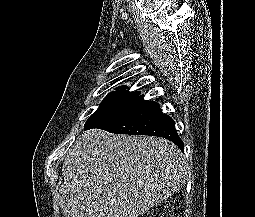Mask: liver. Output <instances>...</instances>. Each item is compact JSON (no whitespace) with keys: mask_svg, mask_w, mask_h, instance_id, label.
Here are the masks:
<instances>
[{"mask_svg":"<svg viewBox=\"0 0 255 217\" xmlns=\"http://www.w3.org/2000/svg\"><path fill=\"white\" fill-rule=\"evenodd\" d=\"M62 177L65 217H138L179 191L187 170L182 152L166 139L92 129L70 145Z\"/></svg>","mask_w":255,"mask_h":217,"instance_id":"liver-1","label":"liver"}]
</instances>
